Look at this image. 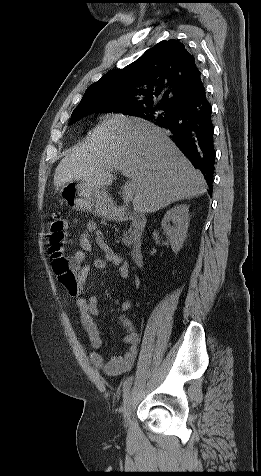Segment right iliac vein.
Listing matches in <instances>:
<instances>
[{"instance_id": "obj_1", "label": "right iliac vein", "mask_w": 261, "mask_h": 476, "mask_svg": "<svg viewBox=\"0 0 261 476\" xmlns=\"http://www.w3.org/2000/svg\"><path fill=\"white\" fill-rule=\"evenodd\" d=\"M132 393L128 391L124 397V404H123V420H124V425L127 426L131 408H132Z\"/></svg>"}]
</instances>
